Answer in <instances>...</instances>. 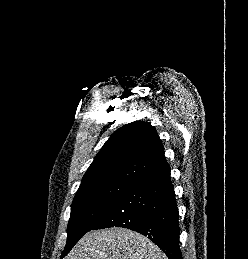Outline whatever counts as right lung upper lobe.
Segmentation results:
<instances>
[{"instance_id":"cb5924a9","label":"right lung upper lobe","mask_w":248,"mask_h":259,"mask_svg":"<svg viewBox=\"0 0 248 259\" xmlns=\"http://www.w3.org/2000/svg\"><path fill=\"white\" fill-rule=\"evenodd\" d=\"M167 167L164 148L154 127L143 121L132 122L106 141L83 176L80 187L108 181L133 184Z\"/></svg>"}]
</instances>
